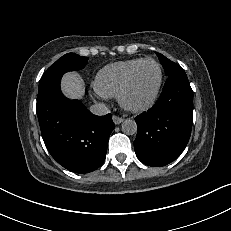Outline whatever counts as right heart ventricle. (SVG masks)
I'll use <instances>...</instances> for the list:
<instances>
[{
	"label": "right heart ventricle",
	"instance_id": "obj_1",
	"mask_svg": "<svg viewBox=\"0 0 231 231\" xmlns=\"http://www.w3.org/2000/svg\"><path fill=\"white\" fill-rule=\"evenodd\" d=\"M142 60L143 58L130 59L103 67L94 79L96 91L107 98L117 96L129 72Z\"/></svg>",
	"mask_w": 231,
	"mask_h": 231
}]
</instances>
